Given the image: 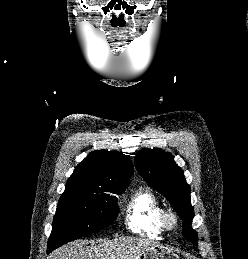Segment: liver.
Listing matches in <instances>:
<instances>
[{
    "instance_id": "1",
    "label": "liver",
    "mask_w": 248,
    "mask_h": 259,
    "mask_svg": "<svg viewBox=\"0 0 248 259\" xmlns=\"http://www.w3.org/2000/svg\"><path fill=\"white\" fill-rule=\"evenodd\" d=\"M154 246L156 244L151 240L137 237L103 240L91 246L78 240L56 249L49 259H138L143 252Z\"/></svg>"
}]
</instances>
